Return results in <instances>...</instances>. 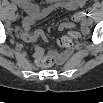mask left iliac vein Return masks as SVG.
<instances>
[{
    "label": "left iliac vein",
    "instance_id": "1",
    "mask_svg": "<svg viewBox=\"0 0 103 103\" xmlns=\"http://www.w3.org/2000/svg\"><path fill=\"white\" fill-rule=\"evenodd\" d=\"M92 23V20L91 19H89V24H91Z\"/></svg>",
    "mask_w": 103,
    "mask_h": 103
}]
</instances>
